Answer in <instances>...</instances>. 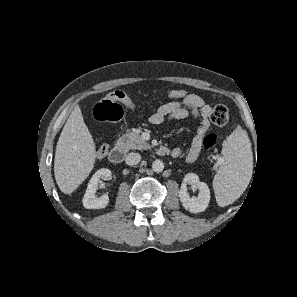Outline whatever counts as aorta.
Segmentation results:
<instances>
[{
	"label": "aorta",
	"mask_w": 297,
	"mask_h": 297,
	"mask_svg": "<svg viewBox=\"0 0 297 297\" xmlns=\"http://www.w3.org/2000/svg\"><path fill=\"white\" fill-rule=\"evenodd\" d=\"M152 170L156 173L162 172L164 170V163L161 160L153 161Z\"/></svg>",
	"instance_id": "1"
}]
</instances>
